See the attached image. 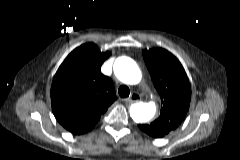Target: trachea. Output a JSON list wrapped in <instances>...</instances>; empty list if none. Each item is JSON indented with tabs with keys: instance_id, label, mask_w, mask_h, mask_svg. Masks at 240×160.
<instances>
[{
	"instance_id": "1",
	"label": "trachea",
	"mask_w": 240,
	"mask_h": 160,
	"mask_svg": "<svg viewBox=\"0 0 240 160\" xmlns=\"http://www.w3.org/2000/svg\"><path fill=\"white\" fill-rule=\"evenodd\" d=\"M118 93L121 96V98H126L130 95V89L126 85H121L118 88Z\"/></svg>"
}]
</instances>
